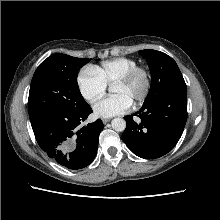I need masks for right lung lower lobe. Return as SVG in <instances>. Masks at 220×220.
<instances>
[{"label": "right lung lower lobe", "instance_id": "1", "mask_svg": "<svg viewBox=\"0 0 220 220\" xmlns=\"http://www.w3.org/2000/svg\"><path fill=\"white\" fill-rule=\"evenodd\" d=\"M92 113L85 109L67 113L54 111L31 121L35 138L43 151L69 169H81L95 158L103 122L98 119L78 130V126Z\"/></svg>", "mask_w": 220, "mask_h": 220}]
</instances>
